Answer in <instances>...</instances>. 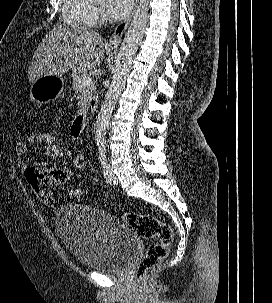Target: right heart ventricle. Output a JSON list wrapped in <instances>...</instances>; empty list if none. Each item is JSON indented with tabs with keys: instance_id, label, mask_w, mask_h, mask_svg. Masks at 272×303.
<instances>
[{
	"instance_id": "1",
	"label": "right heart ventricle",
	"mask_w": 272,
	"mask_h": 303,
	"mask_svg": "<svg viewBox=\"0 0 272 303\" xmlns=\"http://www.w3.org/2000/svg\"><path fill=\"white\" fill-rule=\"evenodd\" d=\"M94 5L92 0H62L61 20L71 26L93 25Z\"/></svg>"
}]
</instances>
